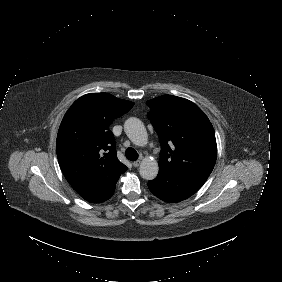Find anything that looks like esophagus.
<instances>
[{
	"mask_svg": "<svg viewBox=\"0 0 282 282\" xmlns=\"http://www.w3.org/2000/svg\"><path fill=\"white\" fill-rule=\"evenodd\" d=\"M141 164V160H136L133 162L134 167H138Z\"/></svg>",
	"mask_w": 282,
	"mask_h": 282,
	"instance_id": "obj_1",
	"label": "esophagus"
}]
</instances>
